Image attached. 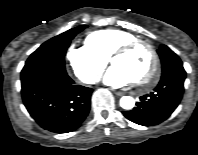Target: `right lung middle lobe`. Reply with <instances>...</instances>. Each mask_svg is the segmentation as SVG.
<instances>
[{"label":"right lung middle lobe","mask_w":198,"mask_h":155,"mask_svg":"<svg viewBox=\"0 0 198 155\" xmlns=\"http://www.w3.org/2000/svg\"><path fill=\"white\" fill-rule=\"evenodd\" d=\"M86 27L81 25L46 41L30 55L26 64L44 63L65 69L66 50L74 36Z\"/></svg>","instance_id":"right-lung-middle-lobe-1"}]
</instances>
